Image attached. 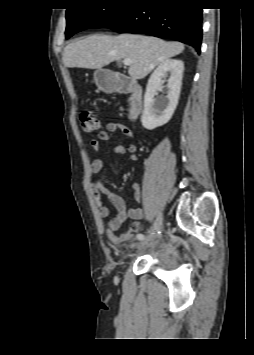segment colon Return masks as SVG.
<instances>
[{"label": "colon", "instance_id": "1", "mask_svg": "<svg viewBox=\"0 0 254 355\" xmlns=\"http://www.w3.org/2000/svg\"><path fill=\"white\" fill-rule=\"evenodd\" d=\"M80 123L86 132H93L99 128V120L90 110H85L80 114Z\"/></svg>", "mask_w": 254, "mask_h": 355}]
</instances>
